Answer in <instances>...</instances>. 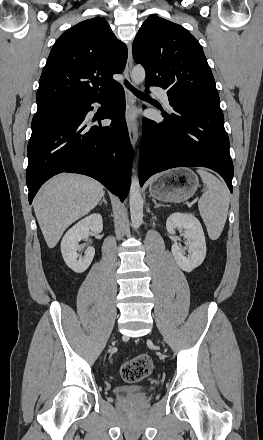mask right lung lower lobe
I'll return each instance as SVG.
<instances>
[{
  "label": "right lung lower lobe",
  "instance_id": "right-lung-lower-lobe-1",
  "mask_svg": "<svg viewBox=\"0 0 263 440\" xmlns=\"http://www.w3.org/2000/svg\"><path fill=\"white\" fill-rule=\"evenodd\" d=\"M104 104L102 119L110 126H89L92 103ZM73 115L32 134L28 143L26 183L29 203L44 182L61 173H79L101 182L123 201L129 191L132 148L125 123V97L120 85L72 102Z\"/></svg>",
  "mask_w": 263,
  "mask_h": 440
}]
</instances>
